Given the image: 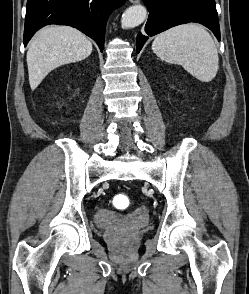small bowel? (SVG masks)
Segmentation results:
<instances>
[{
  "label": "small bowel",
  "instance_id": "obj_1",
  "mask_svg": "<svg viewBox=\"0 0 249 294\" xmlns=\"http://www.w3.org/2000/svg\"><path fill=\"white\" fill-rule=\"evenodd\" d=\"M141 212H142L141 214L137 215V218H139V219H144V217H145L144 211H141ZM101 213H102L103 215H110L109 211H107V210H105V209L102 210Z\"/></svg>",
  "mask_w": 249,
  "mask_h": 294
}]
</instances>
